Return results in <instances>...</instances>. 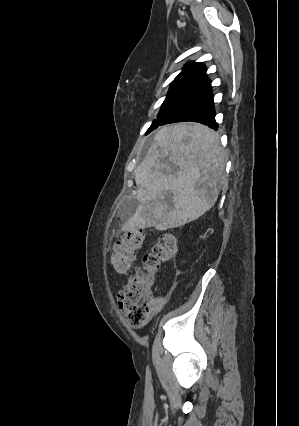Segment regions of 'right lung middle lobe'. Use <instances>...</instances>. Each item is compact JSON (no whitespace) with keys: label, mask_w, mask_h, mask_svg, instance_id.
Wrapping results in <instances>:
<instances>
[{"label":"right lung middle lobe","mask_w":299,"mask_h":426,"mask_svg":"<svg viewBox=\"0 0 299 426\" xmlns=\"http://www.w3.org/2000/svg\"><path fill=\"white\" fill-rule=\"evenodd\" d=\"M196 87L187 85H170L167 97L157 115V120H154L147 133L152 131V128L161 120L163 115L173 107L179 100L195 90Z\"/></svg>","instance_id":"obj_1"}]
</instances>
